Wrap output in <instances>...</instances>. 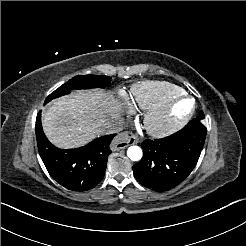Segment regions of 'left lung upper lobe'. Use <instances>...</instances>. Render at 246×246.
<instances>
[{
  "instance_id": "left-lung-upper-lobe-1",
  "label": "left lung upper lobe",
  "mask_w": 246,
  "mask_h": 246,
  "mask_svg": "<svg viewBox=\"0 0 246 246\" xmlns=\"http://www.w3.org/2000/svg\"><path fill=\"white\" fill-rule=\"evenodd\" d=\"M203 119H204V113L203 112H200L197 120L203 122Z\"/></svg>"
}]
</instances>
